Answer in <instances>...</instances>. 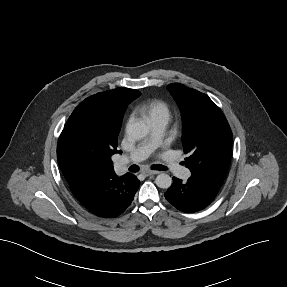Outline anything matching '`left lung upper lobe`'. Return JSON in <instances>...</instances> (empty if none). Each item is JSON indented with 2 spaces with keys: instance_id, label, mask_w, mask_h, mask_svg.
Segmentation results:
<instances>
[{
  "instance_id": "1",
  "label": "left lung upper lobe",
  "mask_w": 287,
  "mask_h": 287,
  "mask_svg": "<svg viewBox=\"0 0 287 287\" xmlns=\"http://www.w3.org/2000/svg\"><path fill=\"white\" fill-rule=\"evenodd\" d=\"M168 89L183 118L185 166L197 177L220 189L229 169L232 131L221 111L206 95L173 83Z\"/></svg>"
}]
</instances>
